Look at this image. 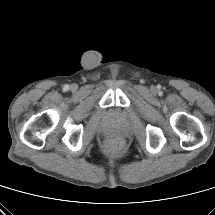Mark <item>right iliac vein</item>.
Returning <instances> with one entry per match:
<instances>
[{"mask_svg":"<svg viewBox=\"0 0 215 215\" xmlns=\"http://www.w3.org/2000/svg\"><path fill=\"white\" fill-rule=\"evenodd\" d=\"M71 89H72V90H76V89H77V86H76L75 84H73V85L71 86Z\"/></svg>","mask_w":215,"mask_h":215,"instance_id":"63e3f726","label":"right iliac vein"}]
</instances>
